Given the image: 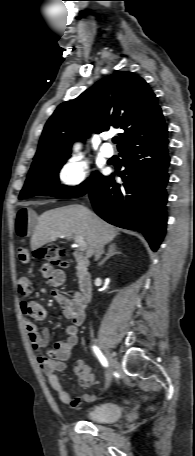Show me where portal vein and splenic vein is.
<instances>
[{"label": "portal vein and splenic vein", "instance_id": "portal-vein-and-splenic-vein-1", "mask_svg": "<svg viewBox=\"0 0 195 456\" xmlns=\"http://www.w3.org/2000/svg\"><path fill=\"white\" fill-rule=\"evenodd\" d=\"M74 240L78 244L80 251H85L86 250L87 244H86V241L84 240V238L82 236L76 235L74 237Z\"/></svg>", "mask_w": 195, "mask_h": 456}]
</instances>
